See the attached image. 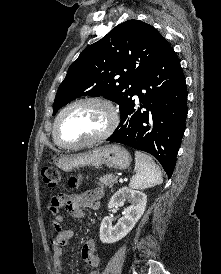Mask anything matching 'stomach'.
Wrapping results in <instances>:
<instances>
[{
	"label": "stomach",
	"instance_id": "1",
	"mask_svg": "<svg viewBox=\"0 0 221 274\" xmlns=\"http://www.w3.org/2000/svg\"><path fill=\"white\" fill-rule=\"evenodd\" d=\"M130 162V154L119 145L100 146L85 152L69 154L54 159V164L65 172L84 166L98 168L103 164L111 168L124 170L129 167Z\"/></svg>",
	"mask_w": 221,
	"mask_h": 274
}]
</instances>
